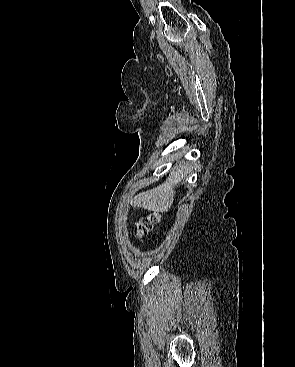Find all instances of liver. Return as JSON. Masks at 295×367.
I'll list each match as a JSON object with an SVG mask.
<instances>
[{
    "label": "liver",
    "mask_w": 295,
    "mask_h": 367,
    "mask_svg": "<svg viewBox=\"0 0 295 367\" xmlns=\"http://www.w3.org/2000/svg\"><path fill=\"white\" fill-rule=\"evenodd\" d=\"M191 168L188 163L175 167L164 183L136 195L132 204L157 213L169 211L174 200V186H177L185 178Z\"/></svg>",
    "instance_id": "obj_1"
}]
</instances>
